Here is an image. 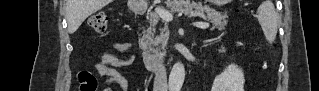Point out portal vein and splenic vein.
<instances>
[{"label":"portal vein and splenic vein","instance_id":"1","mask_svg":"<svg viewBox=\"0 0 319 91\" xmlns=\"http://www.w3.org/2000/svg\"><path fill=\"white\" fill-rule=\"evenodd\" d=\"M156 12L160 16V18L163 19L166 22H169V21L173 20V15L169 11H166V10H163V9H160V8H156ZM193 25L198 27V28H202V29H206V28L209 27L208 23H203V22H196Z\"/></svg>","mask_w":319,"mask_h":91}]
</instances>
